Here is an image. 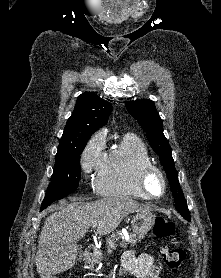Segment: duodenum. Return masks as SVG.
I'll return each mask as SVG.
<instances>
[{
  "label": "duodenum",
  "mask_w": 221,
  "mask_h": 278,
  "mask_svg": "<svg viewBox=\"0 0 221 278\" xmlns=\"http://www.w3.org/2000/svg\"><path fill=\"white\" fill-rule=\"evenodd\" d=\"M98 249L94 245H89L85 250V257L88 263L92 264L97 259Z\"/></svg>",
  "instance_id": "410a0bca"
}]
</instances>
